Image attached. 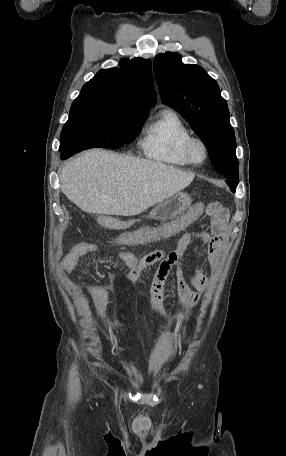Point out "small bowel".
<instances>
[{
  "mask_svg": "<svg viewBox=\"0 0 286 456\" xmlns=\"http://www.w3.org/2000/svg\"><path fill=\"white\" fill-rule=\"evenodd\" d=\"M203 204L189 208L182 216L157 227H143L133 232H125L114 239L118 245H135L156 241L174 236L193 224L203 213ZM211 224L209 228L185 233L178 240L175 249L170 251L156 250L138 259L128 251L119 252V258L129 268L126 281L130 287L134 286L142 272L158 264L157 272L152 280V306L156 316L165 323H170L164 310L165 283L172 271L175 275V288L179 298L189 306H196L201 300V294L194 291L191 286L199 291H204L209 280L196 264H192L188 272L183 268V262L188 252L195 257L201 248L207 251V258L212 267H217L227 245L226 227L228 215L222 208L210 210ZM196 243L192 244L193 239ZM98 245L93 241H82L74 245L64 257L61 268L66 275L73 272L79 260L98 251ZM101 290L91 288L88 296L96 299L95 312L103 326L105 321V304L99 299Z\"/></svg>",
  "mask_w": 286,
  "mask_h": 456,
  "instance_id": "small-bowel-1",
  "label": "small bowel"
}]
</instances>
